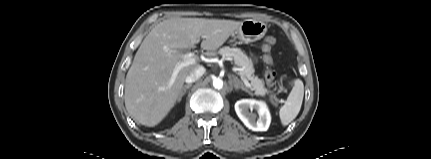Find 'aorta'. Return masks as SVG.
I'll return each instance as SVG.
<instances>
[{
  "label": "aorta",
  "mask_w": 431,
  "mask_h": 159,
  "mask_svg": "<svg viewBox=\"0 0 431 159\" xmlns=\"http://www.w3.org/2000/svg\"><path fill=\"white\" fill-rule=\"evenodd\" d=\"M213 87L215 89H218V90L222 89L223 88V81H222V79H220V78H214L213 79Z\"/></svg>",
  "instance_id": "762f6f07"
}]
</instances>
